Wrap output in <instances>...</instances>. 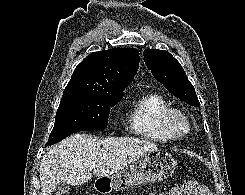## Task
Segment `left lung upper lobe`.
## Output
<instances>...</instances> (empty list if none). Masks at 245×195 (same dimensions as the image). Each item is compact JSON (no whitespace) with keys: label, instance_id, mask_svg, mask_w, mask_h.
I'll list each match as a JSON object with an SVG mask.
<instances>
[{"label":"left lung upper lobe","instance_id":"left-lung-upper-lobe-1","mask_svg":"<svg viewBox=\"0 0 245 195\" xmlns=\"http://www.w3.org/2000/svg\"><path fill=\"white\" fill-rule=\"evenodd\" d=\"M144 61L153 76L177 98L193 108L200 106L195 89L188 80L180 63L167 51L146 49ZM201 115L200 112H198Z\"/></svg>","mask_w":245,"mask_h":195}]
</instances>
